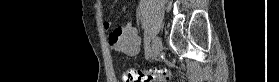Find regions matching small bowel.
<instances>
[{"label": "small bowel", "mask_w": 279, "mask_h": 82, "mask_svg": "<svg viewBox=\"0 0 279 82\" xmlns=\"http://www.w3.org/2000/svg\"><path fill=\"white\" fill-rule=\"evenodd\" d=\"M100 11L102 8L100 7ZM103 27L106 30L111 28V22L105 20ZM109 46L116 52L125 55H136L140 50V38L137 36L136 27L132 22L125 26L115 27L109 33L108 37Z\"/></svg>", "instance_id": "obj_1"}]
</instances>
